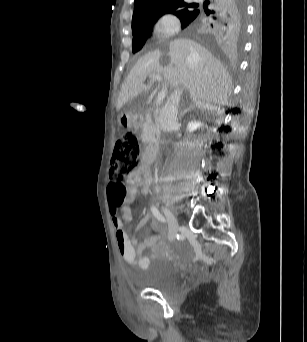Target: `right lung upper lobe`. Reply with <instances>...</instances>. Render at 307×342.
<instances>
[{"label": "right lung upper lobe", "instance_id": "1", "mask_svg": "<svg viewBox=\"0 0 307 342\" xmlns=\"http://www.w3.org/2000/svg\"><path fill=\"white\" fill-rule=\"evenodd\" d=\"M239 9L238 0H210L200 6L184 0H135L132 33L150 32L160 16L173 13L180 18L182 28L191 25L204 37L222 41L227 37L230 23Z\"/></svg>", "mask_w": 307, "mask_h": 342}]
</instances>
